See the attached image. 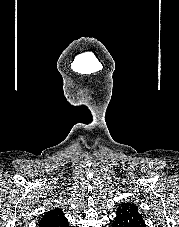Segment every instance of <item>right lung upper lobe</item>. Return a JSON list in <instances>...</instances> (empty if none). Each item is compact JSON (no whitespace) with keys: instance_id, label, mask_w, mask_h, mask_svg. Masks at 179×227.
Listing matches in <instances>:
<instances>
[{"instance_id":"right-lung-upper-lobe-1","label":"right lung upper lobe","mask_w":179,"mask_h":227,"mask_svg":"<svg viewBox=\"0 0 179 227\" xmlns=\"http://www.w3.org/2000/svg\"><path fill=\"white\" fill-rule=\"evenodd\" d=\"M66 225L68 222L61 209L47 212L39 223V227H65Z\"/></svg>"}]
</instances>
